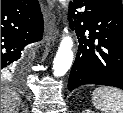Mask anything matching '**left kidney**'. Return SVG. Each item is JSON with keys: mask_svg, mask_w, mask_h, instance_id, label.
Returning <instances> with one entry per match:
<instances>
[{"mask_svg": "<svg viewBox=\"0 0 123 113\" xmlns=\"http://www.w3.org/2000/svg\"><path fill=\"white\" fill-rule=\"evenodd\" d=\"M82 113H94V112L91 111L90 109H87V110L83 111Z\"/></svg>", "mask_w": 123, "mask_h": 113, "instance_id": "5707ae66", "label": "left kidney"}]
</instances>
